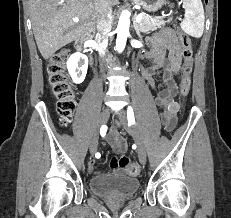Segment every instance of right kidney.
Wrapping results in <instances>:
<instances>
[{"mask_svg":"<svg viewBox=\"0 0 231 218\" xmlns=\"http://www.w3.org/2000/svg\"><path fill=\"white\" fill-rule=\"evenodd\" d=\"M88 68V58L81 53H74L67 61V69L74 83L84 81Z\"/></svg>","mask_w":231,"mask_h":218,"instance_id":"ca27d5eb","label":"right kidney"}]
</instances>
